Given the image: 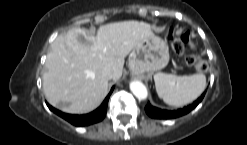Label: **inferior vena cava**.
<instances>
[{
	"instance_id": "602c4592",
	"label": "inferior vena cava",
	"mask_w": 247,
	"mask_h": 145,
	"mask_svg": "<svg viewBox=\"0 0 247 145\" xmlns=\"http://www.w3.org/2000/svg\"><path fill=\"white\" fill-rule=\"evenodd\" d=\"M102 75L108 80L113 78V74L109 68H104L102 70Z\"/></svg>"
}]
</instances>
